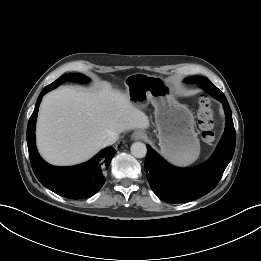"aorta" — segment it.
Here are the masks:
<instances>
[{"label": "aorta", "mask_w": 261, "mask_h": 261, "mask_svg": "<svg viewBox=\"0 0 261 261\" xmlns=\"http://www.w3.org/2000/svg\"><path fill=\"white\" fill-rule=\"evenodd\" d=\"M131 154L136 158H143L146 156L147 148L142 142H135L131 145Z\"/></svg>", "instance_id": "1"}]
</instances>
